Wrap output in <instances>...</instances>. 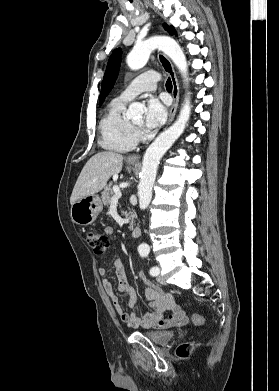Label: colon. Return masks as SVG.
Here are the masks:
<instances>
[{"instance_id": "colon-1", "label": "colon", "mask_w": 279, "mask_h": 391, "mask_svg": "<svg viewBox=\"0 0 279 391\" xmlns=\"http://www.w3.org/2000/svg\"><path fill=\"white\" fill-rule=\"evenodd\" d=\"M86 242L97 255L106 254L110 247V240L108 236L100 232H88L86 234ZM191 319L198 325L203 324L205 320L204 317L199 314L192 315ZM192 350L193 346L191 343H184L177 348L176 353L178 357L186 358L191 354Z\"/></svg>"}]
</instances>
